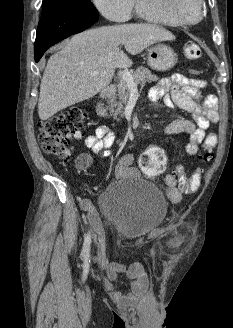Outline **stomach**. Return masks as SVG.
<instances>
[{"instance_id": "1", "label": "stomach", "mask_w": 233, "mask_h": 328, "mask_svg": "<svg viewBox=\"0 0 233 328\" xmlns=\"http://www.w3.org/2000/svg\"><path fill=\"white\" fill-rule=\"evenodd\" d=\"M147 61L157 71H167L177 63L173 49L166 44H155L148 49Z\"/></svg>"}]
</instances>
